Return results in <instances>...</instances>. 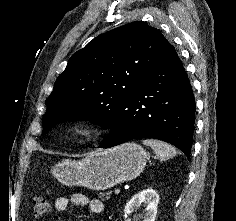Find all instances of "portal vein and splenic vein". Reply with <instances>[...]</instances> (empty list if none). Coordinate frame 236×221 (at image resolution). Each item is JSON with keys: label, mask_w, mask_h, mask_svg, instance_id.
Returning a JSON list of instances; mask_svg holds the SVG:
<instances>
[{"label": "portal vein and splenic vein", "mask_w": 236, "mask_h": 221, "mask_svg": "<svg viewBox=\"0 0 236 221\" xmlns=\"http://www.w3.org/2000/svg\"><path fill=\"white\" fill-rule=\"evenodd\" d=\"M114 192H115V194H119L120 193V188H116Z\"/></svg>", "instance_id": "portal-vein-and-splenic-vein-1"}]
</instances>
